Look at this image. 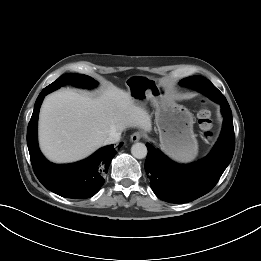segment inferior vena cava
I'll list each match as a JSON object with an SVG mask.
<instances>
[{"instance_id": "obj_1", "label": "inferior vena cava", "mask_w": 261, "mask_h": 261, "mask_svg": "<svg viewBox=\"0 0 261 261\" xmlns=\"http://www.w3.org/2000/svg\"><path fill=\"white\" fill-rule=\"evenodd\" d=\"M121 133L120 132H114L111 133L104 141V145L114 144L120 140Z\"/></svg>"}]
</instances>
